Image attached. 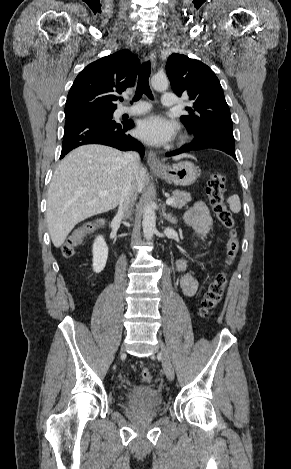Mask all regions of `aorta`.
<instances>
[{
  "label": "aorta",
  "mask_w": 291,
  "mask_h": 469,
  "mask_svg": "<svg viewBox=\"0 0 291 469\" xmlns=\"http://www.w3.org/2000/svg\"><path fill=\"white\" fill-rule=\"evenodd\" d=\"M152 87L157 91H165L168 88V79L165 76L155 75L151 79ZM143 234L147 240L152 239L156 230V214L152 204H147L143 210Z\"/></svg>",
  "instance_id": "obj_1"
}]
</instances>
